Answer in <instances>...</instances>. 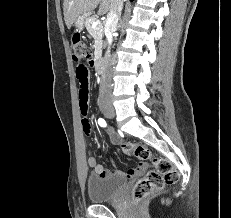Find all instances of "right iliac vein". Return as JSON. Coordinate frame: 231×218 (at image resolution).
Masks as SVG:
<instances>
[{"mask_svg":"<svg viewBox=\"0 0 231 218\" xmlns=\"http://www.w3.org/2000/svg\"><path fill=\"white\" fill-rule=\"evenodd\" d=\"M101 110L103 114L108 118H113L115 116L114 108L111 105H103Z\"/></svg>","mask_w":231,"mask_h":218,"instance_id":"obj_1","label":"right iliac vein"}]
</instances>
